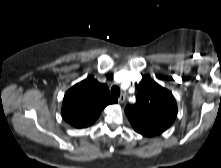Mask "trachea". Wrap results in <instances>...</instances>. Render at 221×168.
<instances>
[{
	"instance_id": "1",
	"label": "trachea",
	"mask_w": 221,
	"mask_h": 168,
	"mask_svg": "<svg viewBox=\"0 0 221 168\" xmlns=\"http://www.w3.org/2000/svg\"><path fill=\"white\" fill-rule=\"evenodd\" d=\"M111 94L114 96V97H119L120 96V88L118 86H113L111 88Z\"/></svg>"
}]
</instances>
